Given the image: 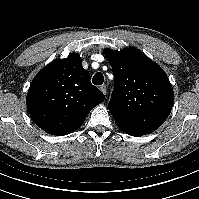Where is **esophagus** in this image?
<instances>
[{
    "instance_id": "obj_1",
    "label": "esophagus",
    "mask_w": 199,
    "mask_h": 199,
    "mask_svg": "<svg viewBox=\"0 0 199 199\" xmlns=\"http://www.w3.org/2000/svg\"><path fill=\"white\" fill-rule=\"evenodd\" d=\"M99 89H100L104 94L107 93L106 85H101V86L99 87Z\"/></svg>"
}]
</instances>
